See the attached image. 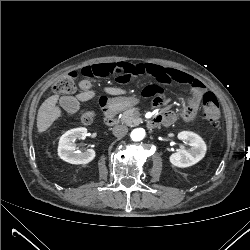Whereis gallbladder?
I'll list each match as a JSON object with an SVG mask.
<instances>
[{"mask_svg": "<svg viewBox=\"0 0 250 250\" xmlns=\"http://www.w3.org/2000/svg\"><path fill=\"white\" fill-rule=\"evenodd\" d=\"M60 105L69 113H76L80 109L79 102L71 100L69 98H63L60 101Z\"/></svg>", "mask_w": 250, "mask_h": 250, "instance_id": "bac80fb5", "label": "gallbladder"}]
</instances>
